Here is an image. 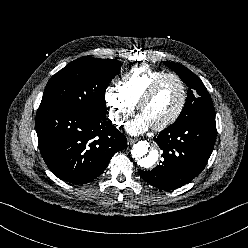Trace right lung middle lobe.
I'll list each match as a JSON object with an SVG mask.
<instances>
[{
	"label": "right lung middle lobe",
	"mask_w": 248,
	"mask_h": 248,
	"mask_svg": "<svg viewBox=\"0 0 248 248\" xmlns=\"http://www.w3.org/2000/svg\"><path fill=\"white\" fill-rule=\"evenodd\" d=\"M121 63L113 59L81 57L49 80L39 107H63L95 116H105V90L119 73Z\"/></svg>",
	"instance_id": "dd1d6c3e"
}]
</instances>
